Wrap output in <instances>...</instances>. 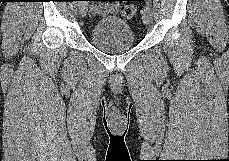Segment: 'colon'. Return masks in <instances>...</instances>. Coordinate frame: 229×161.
Segmentation results:
<instances>
[{"instance_id": "1", "label": "colon", "mask_w": 229, "mask_h": 161, "mask_svg": "<svg viewBox=\"0 0 229 161\" xmlns=\"http://www.w3.org/2000/svg\"><path fill=\"white\" fill-rule=\"evenodd\" d=\"M136 11H137L136 6L131 4L124 5L121 9V15L129 19L135 16Z\"/></svg>"}]
</instances>
